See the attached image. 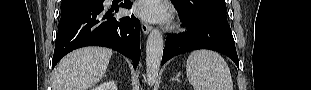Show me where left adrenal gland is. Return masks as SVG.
Listing matches in <instances>:
<instances>
[{
	"instance_id": "left-adrenal-gland-1",
	"label": "left adrenal gland",
	"mask_w": 311,
	"mask_h": 90,
	"mask_svg": "<svg viewBox=\"0 0 311 90\" xmlns=\"http://www.w3.org/2000/svg\"><path fill=\"white\" fill-rule=\"evenodd\" d=\"M179 77H180V73H178L175 78H172L171 81H178L179 82L180 81Z\"/></svg>"
}]
</instances>
